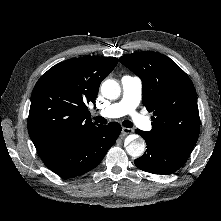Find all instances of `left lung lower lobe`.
<instances>
[{"label": "left lung lower lobe", "mask_w": 221, "mask_h": 221, "mask_svg": "<svg viewBox=\"0 0 221 221\" xmlns=\"http://www.w3.org/2000/svg\"><path fill=\"white\" fill-rule=\"evenodd\" d=\"M136 133L145 139L147 150L134 163L139 169L146 172L161 175L171 174L181 168L191 154V151L147 139L144 131L139 129L136 130Z\"/></svg>", "instance_id": "1"}]
</instances>
